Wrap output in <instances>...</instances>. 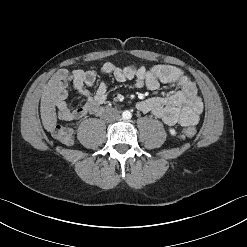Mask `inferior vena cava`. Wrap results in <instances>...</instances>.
<instances>
[{"mask_svg": "<svg viewBox=\"0 0 247 247\" xmlns=\"http://www.w3.org/2000/svg\"><path fill=\"white\" fill-rule=\"evenodd\" d=\"M104 118L109 122L117 121L120 119V113L116 109H108L104 114Z\"/></svg>", "mask_w": 247, "mask_h": 247, "instance_id": "inferior-vena-cava-1", "label": "inferior vena cava"}]
</instances>
